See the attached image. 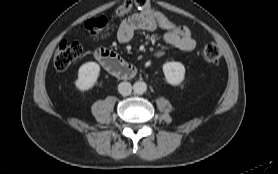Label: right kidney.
Listing matches in <instances>:
<instances>
[{"instance_id":"1","label":"right kidney","mask_w":278,"mask_h":174,"mask_svg":"<svg viewBox=\"0 0 278 174\" xmlns=\"http://www.w3.org/2000/svg\"><path fill=\"white\" fill-rule=\"evenodd\" d=\"M100 66L95 62H87L80 66L78 79L75 81L77 89L87 91L91 89L97 81Z\"/></svg>"}]
</instances>
